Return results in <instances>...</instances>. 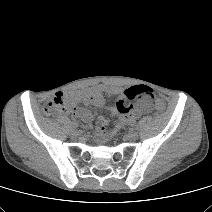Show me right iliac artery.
<instances>
[{
	"label": "right iliac artery",
	"instance_id": "82829eb1",
	"mask_svg": "<svg viewBox=\"0 0 212 212\" xmlns=\"http://www.w3.org/2000/svg\"><path fill=\"white\" fill-rule=\"evenodd\" d=\"M79 126V123L78 122H75V121H73V122H71V127L72 128H77Z\"/></svg>",
	"mask_w": 212,
	"mask_h": 212
}]
</instances>
